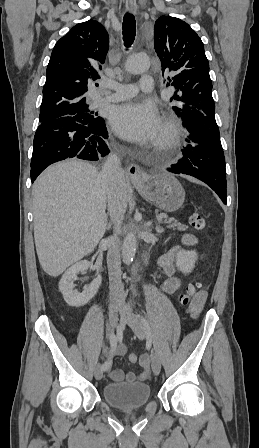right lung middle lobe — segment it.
I'll return each mask as SVG.
<instances>
[{
  "mask_svg": "<svg viewBox=\"0 0 259 448\" xmlns=\"http://www.w3.org/2000/svg\"><path fill=\"white\" fill-rule=\"evenodd\" d=\"M97 115L98 113L91 111L88 105H77L56 112L40 114L39 122L42 124L50 120L70 116L83 124H92L101 119Z\"/></svg>",
  "mask_w": 259,
  "mask_h": 448,
  "instance_id": "1",
  "label": "right lung middle lobe"
}]
</instances>
